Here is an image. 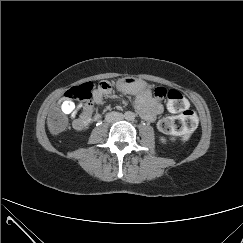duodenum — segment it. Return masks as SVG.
Listing matches in <instances>:
<instances>
[{"mask_svg": "<svg viewBox=\"0 0 243 243\" xmlns=\"http://www.w3.org/2000/svg\"><path fill=\"white\" fill-rule=\"evenodd\" d=\"M98 118H99V115H96V116H95V120H97Z\"/></svg>", "mask_w": 243, "mask_h": 243, "instance_id": "1", "label": "duodenum"}]
</instances>
